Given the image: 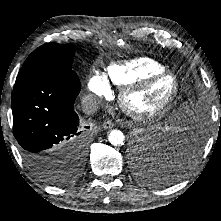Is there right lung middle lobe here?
<instances>
[{
  "mask_svg": "<svg viewBox=\"0 0 221 221\" xmlns=\"http://www.w3.org/2000/svg\"><path fill=\"white\" fill-rule=\"evenodd\" d=\"M75 48L70 45L47 43L34 50L24 62L14 85L18 90L29 82L46 76L70 74L77 77L71 65ZM45 179L52 183H60L61 179L46 175Z\"/></svg>",
  "mask_w": 221,
  "mask_h": 221,
  "instance_id": "1",
  "label": "right lung middle lobe"
}]
</instances>
